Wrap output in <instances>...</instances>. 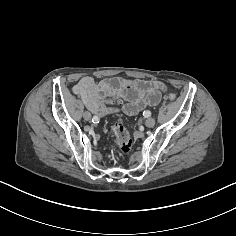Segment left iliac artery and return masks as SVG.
<instances>
[{
  "label": "left iliac artery",
  "instance_id": "1",
  "mask_svg": "<svg viewBox=\"0 0 236 236\" xmlns=\"http://www.w3.org/2000/svg\"><path fill=\"white\" fill-rule=\"evenodd\" d=\"M143 116L144 117H150L151 116V112L146 110V111L143 112Z\"/></svg>",
  "mask_w": 236,
  "mask_h": 236
}]
</instances>
